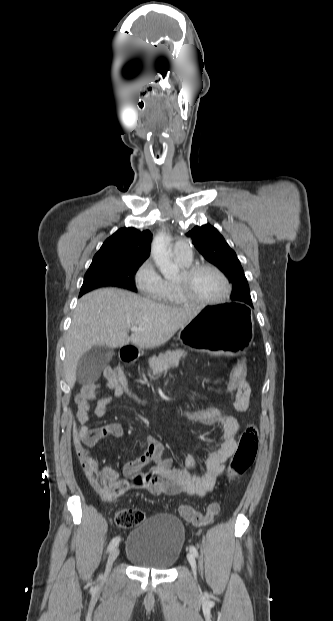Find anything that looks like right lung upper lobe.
I'll return each mask as SVG.
<instances>
[{"instance_id":"1","label":"right lung upper lobe","mask_w":333,"mask_h":621,"mask_svg":"<svg viewBox=\"0 0 333 621\" xmlns=\"http://www.w3.org/2000/svg\"><path fill=\"white\" fill-rule=\"evenodd\" d=\"M152 234L149 230L121 228L110 236L95 254L92 262L100 261H142L150 255Z\"/></svg>"}]
</instances>
